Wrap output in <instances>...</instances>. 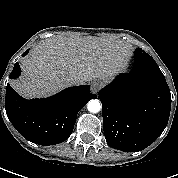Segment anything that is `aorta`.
Returning a JSON list of instances; mask_svg holds the SVG:
<instances>
[{"label":"aorta","instance_id":"obj_1","mask_svg":"<svg viewBox=\"0 0 178 178\" xmlns=\"http://www.w3.org/2000/svg\"><path fill=\"white\" fill-rule=\"evenodd\" d=\"M88 110L91 113L99 112L101 110V104H100L99 100L93 99V100L89 101Z\"/></svg>","mask_w":178,"mask_h":178}]
</instances>
